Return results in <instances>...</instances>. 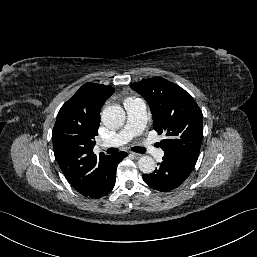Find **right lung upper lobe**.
I'll list each match as a JSON object with an SVG mask.
<instances>
[{
    "instance_id": "obj_1",
    "label": "right lung upper lobe",
    "mask_w": 257,
    "mask_h": 257,
    "mask_svg": "<svg viewBox=\"0 0 257 257\" xmlns=\"http://www.w3.org/2000/svg\"><path fill=\"white\" fill-rule=\"evenodd\" d=\"M114 93L103 84L85 83L60 109L52 131L55 159L65 178L79 193L90 191L97 182L108 155L93 153L100 110Z\"/></svg>"
}]
</instances>
